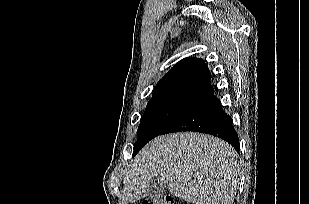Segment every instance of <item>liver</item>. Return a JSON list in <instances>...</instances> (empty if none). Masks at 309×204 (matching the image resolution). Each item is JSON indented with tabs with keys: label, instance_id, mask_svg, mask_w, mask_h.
Listing matches in <instances>:
<instances>
[{
	"label": "liver",
	"instance_id": "obj_1",
	"mask_svg": "<svg viewBox=\"0 0 309 204\" xmlns=\"http://www.w3.org/2000/svg\"><path fill=\"white\" fill-rule=\"evenodd\" d=\"M241 175L236 151L225 141L184 132L156 137L136 156L123 181L129 201L164 180L172 195L193 204H233Z\"/></svg>",
	"mask_w": 309,
	"mask_h": 204
}]
</instances>
